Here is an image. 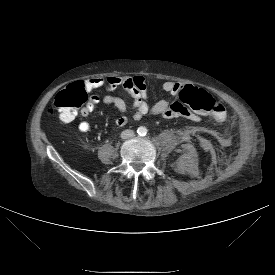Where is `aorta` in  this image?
I'll use <instances>...</instances> for the list:
<instances>
[{"label":"aorta","instance_id":"762f6f07","mask_svg":"<svg viewBox=\"0 0 275 275\" xmlns=\"http://www.w3.org/2000/svg\"><path fill=\"white\" fill-rule=\"evenodd\" d=\"M137 132H138L139 135L143 136V135H145L147 133V129L145 127H143V126H140L138 128Z\"/></svg>","mask_w":275,"mask_h":275}]
</instances>
